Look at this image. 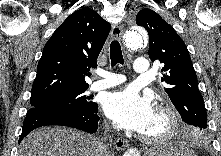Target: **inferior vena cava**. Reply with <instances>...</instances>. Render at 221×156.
<instances>
[{
    "label": "inferior vena cava",
    "mask_w": 221,
    "mask_h": 156,
    "mask_svg": "<svg viewBox=\"0 0 221 156\" xmlns=\"http://www.w3.org/2000/svg\"><path fill=\"white\" fill-rule=\"evenodd\" d=\"M101 144H102L103 151H106V148H105V146L103 145L102 142H101Z\"/></svg>",
    "instance_id": "1"
}]
</instances>
